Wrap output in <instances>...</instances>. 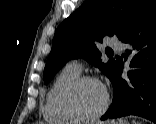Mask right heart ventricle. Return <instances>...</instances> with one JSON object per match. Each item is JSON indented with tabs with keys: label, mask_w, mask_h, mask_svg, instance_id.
<instances>
[{
	"label": "right heart ventricle",
	"mask_w": 156,
	"mask_h": 124,
	"mask_svg": "<svg viewBox=\"0 0 156 124\" xmlns=\"http://www.w3.org/2000/svg\"><path fill=\"white\" fill-rule=\"evenodd\" d=\"M80 76V71L65 66L61 72L54 78L49 86L44 104H43V117L50 124H73L71 118L65 115L58 104V99L63 88L72 80Z\"/></svg>",
	"instance_id": "obj_1"
}]
</instances>
